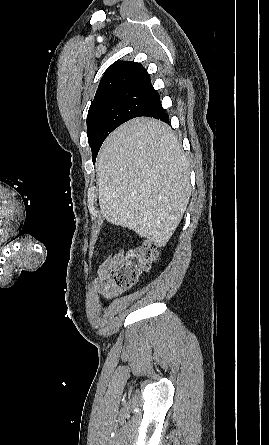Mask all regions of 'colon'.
<instances>
[{"label":"colon","mask_w":269,"mask_h":445,"mask_svg":"<svg viewBox=\"0 0 269 445\" xmlns=\"http://www.w3.org/2000/svg\"><path fill=\"white\" fill-rule=\"evenodd\" d=\"M157 255V247L149 240H142L137 246L129 248L112 271L115 286L120 289L134 286L139 272L149 268Z\"/></svg>","instance_id":"5ec220e1"}]
</instances>
